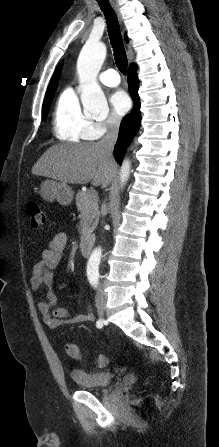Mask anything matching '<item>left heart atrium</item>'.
Returning <instances> with one entry per match:
<instances>
[{"label":"left heart atrium","mask_w":219,"mask_h":447,"mask_svg":"<svg viewBox=\"0 0 219 447\" xmlns=\"http://www.w3.org/2000/svg\"><path fill=\"white\" fill-rule=\"evenodd\" d=\"M110 104L117 114L124 115L131 107V100L125 91L116 90L110 96Z\"/></svg>","instance_id":"39dd6f15"}]
</instances>
